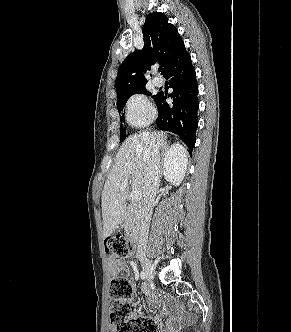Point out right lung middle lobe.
Here are the masks:
<instances>
[{
    "instance_id": "dd1d6c3e",
    "label": "right lung middle lobe",
    "mask_w": 291,
    "mask_h": 332,
    "mask_svg": "<svg viewBox=\"0 0 291 332\" xmlns=\"http://www.w3.org/2000/svg\"><path fill=\"white\" fill-rule=\"evenodd\" d=\"M137 93H142V94H147V95H151L150 92H148L145 87L139 88L137 90L132 91L131 93L125 95L123 98L117 100V108H118V112H121V110L125 107V104L128 100V98L133 95V94H137ZM156 96H154L155 99ZM121 121L125 122L124 116L121 117ZM126 138V131L123 129V127H121L120 130V142H122L124 139Z\"/></svg>"
}]
</instances>
